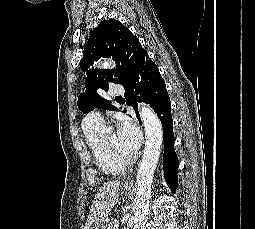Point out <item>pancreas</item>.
<instances>
[{
	"label": "pancreas",
	"instance_id": "pancreas-1",
	"mask_svg": "<svg viewBox=\"0 0 255 229\" xmlns=\"http://www.w3.org/2000/svg\"><path fill=\"white\" fill-rule=\"evenodd\" d=\"M115 224H117V221L116 220H112L109 225H108V228L107 229H115Z\"/></svg>",
	"mask_w": 255,
	"mask_h": 229
}]
</instances>
